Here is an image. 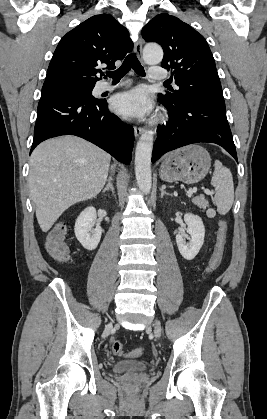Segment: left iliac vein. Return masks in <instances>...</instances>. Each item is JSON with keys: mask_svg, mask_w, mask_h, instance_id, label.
Segmentation results:
<instances>
[{"mask_svg": "<svg viewBox=\"0 0 267 419\" xmlns=\"http://www.w3.org/2000/svg\"><path fill=\"white\" fill-rule=\"evenodd\" d=\"M154 334L156 338H160L161 336V325L159 321L157 320L155 321V324H154Z\"/></svg>", "mask_w": 267, "mask_h": 419, "instance_id": "4c4485c4", "label": "left iliac vein"}]
</instances>
